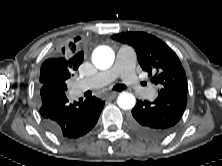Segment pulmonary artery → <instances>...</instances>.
<instances>
[{
  "label": "pulmonary artery",
  "mask_w": 222,
  "mask_h": 166,
  "mask_svg": "<svg viewBox=\"0 0 222 166\" xmlns=\"http://www.w3.org/2000/svg\"><path fill=\"white\" fill-rule=\"evenodd\" d=\"M135 52L127 47H122L117 52L116 61L112 68L98 73L96 76L88 80L89 87H102L115 81L118 77L129 85L134 91H141L146 98L152 99L154 96L153 87H144L135 73ZM86 88L83 84H79L75 88V94H81Z\"/></svg>",
  "instance_id": "e3ab8cb5"
}]
</instances>
